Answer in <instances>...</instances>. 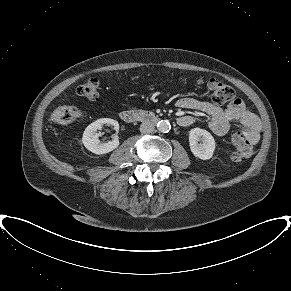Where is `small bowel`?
Wrapping results in <instances>:
<instances>
[{"mask_svg": "<svg viewBox=\"0 0 291 291\" xmlns=\"http://www.w3.org/2000/svg\"><path fill=\"white\" fill-rule=\"evenodd\" d=\"M176 105L183 109H194L204 112L210 116L209 128L218 136L225 135L229 125L233 121L241 123L244 134L251 144H256L260 138L261 124L258 117L250 112L241 99H235L225 108L219 107L211 102L195 98L184 97L177 101ZM180 126L186 127L193 123V117L182 115L177 120Z\"/></svg>", "mask_w": 291, "mask_h": 291, "instance_id": "small-bowel-1", "label": "small bowel"}]
</instances>
